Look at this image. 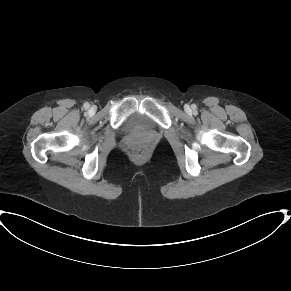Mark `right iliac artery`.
<instances>
[{"label": "right iliac artery", "mask_w": 291, "mask_h": 291, "mask_svg": "<svg viewBox=\"0 0 291 291\" xmlns=\"http://www.w3.org/2000/svg\"><path fill=\"white\" fill-rule=\"evenodd\" d=\"M89 106H90V105H89L88 103H85V104H84V108H85V109H88Z\"/></svg>", "instance_id": "right-iliac-artery-1"}]
</instances>
